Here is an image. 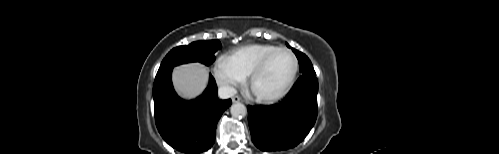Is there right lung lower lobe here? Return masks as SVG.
<instances>
[{"instance_id": "obj_1", "label": "right lung lower lobe", "mask_w": 499, "mask_h": 154, "mask_svg": "<svg viewBox=\"0 0 499 154\" xmlns=\"http://www.w3.org/2000/svg\"><path fill=\"white\" fill-rule=\"evenodd\" d=\"M172 69L157 73L154 86V112L159 133L174 149L186 154L208 150L215 141L216 126L231 100L217 98V85L210 75L204 93L191 101L177 96L171 81Z\"/></svg>"}]
</instances>
